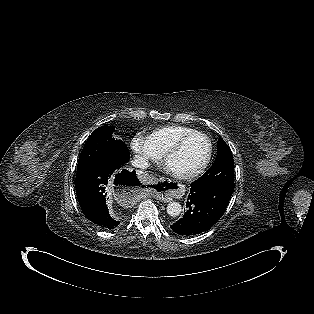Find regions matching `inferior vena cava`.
Listing matches in <instances>:
<instances>
[{
	"label": "inferior vena cava",
	"mask_w": 314,
	"mask_h": 314,
	"mask_svg": "<svg viewBox=\"0 0 314 314\" xmlns=\"http://www.w3.org/2000/svg\"><path fill=\"white\" fill-rule=\"evenodd\" d=\"M132 165L142 169L149 167L147 160L142 156H136L132 161Z\"/></svg>",
	"instance_id": "obj_1"
}]
</instances>
